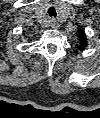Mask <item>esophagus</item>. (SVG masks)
<instances>
[{
  "instance_id": "esophagus-1",
  "label": "esophagus",
  "mask_w": 100,
  "mask_h": 118,
  "mask_svg": "<svg viewBox=\"0 0 100 118\" xmlns=\"http://www.w3.org/2000/svg\"><path fill=\"white\" fill-rule=\"evenodd\" d=\"M50 26H51L53 29H57V28L59 27L58 23H57L55 20H52V21H51Z\"/></svg>"
}]
</instances>
